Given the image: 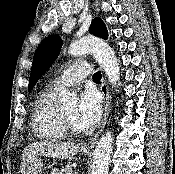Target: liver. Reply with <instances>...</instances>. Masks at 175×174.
Instances as JSON below:
<instances>
[{
    "label": "liver",
    "instance_id": "1",
    "mask_svg": "<svg viewBox=\"0 0 175 174\" xmlns=\"http://www.w3.org/2000/svg\"><path fill=\"white\" fill-rule=\"evenodd\" d=\"M79 151V145L70 142L41 141L28 145L23 153V161L39 156L52 158L69 159Z\"/></svg>",
    "mask_w": 175,
    "mask_h": 174
}]
</instances>
